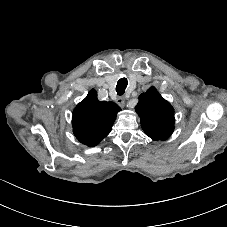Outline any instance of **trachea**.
I'll use <instances>...</instances> for the list:
<instances>
[{"instance_id":"obj_1","label":"trachea","mask_w":227,"mask_h":227,"mask_svg":"<svg viewBox=\"0 0 227 227\" xmlns=\"http://www.w3.org/2000/svg\"><path fill=\"white\" fill-rule=\"evenodd\" d=\"M127 85H128L127 78H125V77L120 78L116 85L117 95H123Z\"/></svg>"}]
</instances>
